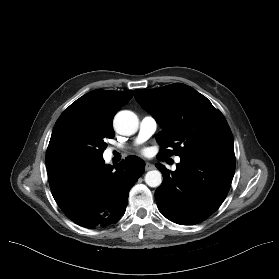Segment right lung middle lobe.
I'll use <instances>...</instances> for the list:
<instances>
[{
    "label": "right lung middle lobe",
    "mask_w": 279,
    "mask_h": 279,
    "mask_svg": "<svg viewBox=\"0 0 279 279\" xmlns=\"http://www.w3.org/2000/svg\"><path fill=\"white\" fill-rule=\"evenodd\" d=\"M113 137V133H105L79 117L57 120L46 152V167L102 158L105 139Z\"/></svg>",
    "instance_id": "right-lung-middle-lobe-1"
}]
</instances>
